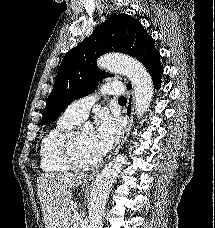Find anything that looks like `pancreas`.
<instances>
[{
  "label": "pancreas",
  "instance_id": "pancreas-1",
  "mask_svg": "<svg viewBox=\"0 0 215 228\" xmlns=\"http://www.w3.org/2000/svg\"><path fill=\"white\" fill-rule=\"evenodd\" d=\"M70 226H73V228H80L75 220H72V224H70Z\"/></svg>",
  "mask_w": 215,
  "mask_h": 228
}]
</instances>
